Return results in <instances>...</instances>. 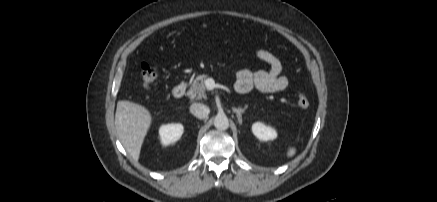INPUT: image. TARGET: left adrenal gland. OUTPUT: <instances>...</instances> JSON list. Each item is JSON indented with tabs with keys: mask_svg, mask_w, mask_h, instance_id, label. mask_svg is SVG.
Returning <instances> with one entry per match:
<instances>
[{
	"mask_svg": "<svg viewBox=\"0 0 437 202\" xmlns=\"http://www.w3.org/2000/svg\"><path fill=\"white\" fill-rule=\"evenodd\" d=\"M247 109V105L244 108H236L233 107L232 110L234 113H236L237 115V119L240 125H242V114L245 112V110Z\"/></svg>",
	"mask_w": 437,
	"mask_h": 202,
	"instance_id": "1",
	"label": "left adrenal gland"
}]
</instances>
